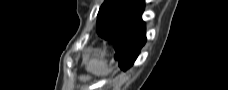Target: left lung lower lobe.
Wrapping results in <instances>:
<instances>
[{
    "label": "left lung lower lobe",
    "instance_id": "obj_1",
    "mask_svg": "<svg viewBox=\"0 0 228 90\" xmlns=\"http://www.w3.org/2000/svg\"><path fill=\"white\" fill-rule=\"evenodd\" d=\"M138 4L139 7L135 11L119 13L117 23L99 35L114 45V58L124 71L133 65L146 43L145 23L141 19L144 1L134 0V5Z\"/></svg>",
    "mask_w": 228,
    "mask_h": 90
}]
</instances>
